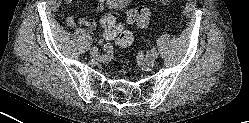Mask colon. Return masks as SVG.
<instances>
[{
    "mask_svg": "<svg viewBox=\"0 0 249 123\" xmlns=\"http://www.w3.org/2000/svg\"><path fill=\"white\" fill-rule=\"evenodd\" d=\"M176 0H161L165 5H170ZM153 16L152 10L146 7H134L127 13L126 20L128 23L136 25L139 28H146ZM104 34L113 40L120 47L131 45L133 37L130 32L126 31L117 21L115 16L107 14L100 20Z\"/></svg>",
    "mask_w": 249,
    "mask_h": 123,
    "instance_id": "1",
    "label": "colon"
}]
</instances>
